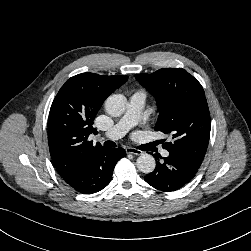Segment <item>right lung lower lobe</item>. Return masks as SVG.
Listing matches in <instances>:
<instances>
[{
  "mask_svg": "<svg viewBox=\"0 0 251 251\" xmlns=\"http://www.w3.org/2000/svg\"><path fill=\"white\" fill-rule=\"evenodd\" d=\"M125 155L121 147L91 151L64 181L82 194L98 192L109 184L116 163Z\"/></svg>",
  "mask_w": 251,
  "mask_h": 251,
  "instance_id": "1",
  "label": "right lung lower lobe"
}]
</instances>
